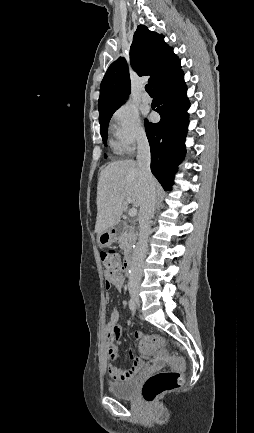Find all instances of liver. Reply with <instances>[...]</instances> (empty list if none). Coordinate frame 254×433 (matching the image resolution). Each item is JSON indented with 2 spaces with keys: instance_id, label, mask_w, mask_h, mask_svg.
Wrapping results in <instances>:
<instances>
[{
  "instance_id": "6515ba94",
  "label": "liver",
  "mask_w": 254,
  "mask_h": 433,
  "mask_svg": "<svg viewBox=\"0 0 254 433\" xmlns=\"http://www.w3.org/2000/svg\"><path fill=\"white\" fill-rule=\"evenodd\" d=\"M126 197L131 198L134 206L141 205L143 180L138 164L134 160L112 162L100 173L95 224V232L98 235L120 222L127 207Z\"/></svg>"
}]
</instances>
